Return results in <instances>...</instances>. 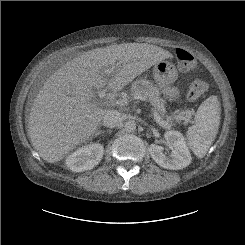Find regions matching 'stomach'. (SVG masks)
Segmentation results:
<instances>
[{"mask_svg": "<svg viewBox=\"0 0 245 245\" xmlns=\"http://www.w3.org/2000/svg\"><path fill=\"white\" fill-rule=\"evenodd\" d=\"M153 76L163 95L170 101L180 97V90L173 86L178 78V71L171 62L162 60L154 65Z\"/></svg>", "mask_w": 245, "mask_h": 245, "instance_id": "obj_1", "label": "stomach"}]
</instances>
